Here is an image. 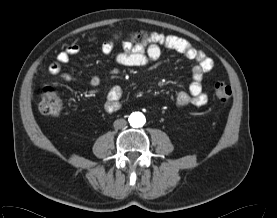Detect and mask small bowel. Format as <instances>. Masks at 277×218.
<instances>
[{
  "label": "small bowel",
  "mask_w": 277,
  "mask_h": 218,
  "mask_svg": "<svg viewBox=\"0 0 277 218\" xmlns=\"http://www.w3.org/2000/svg\"><path fill=\"white\" fill-rule=\"evenodd\" d=\"M151 43L146 47L132 46L125 43L123 51L116 57L119 64L127 67L145 66L151 62L158 60L161 56L162 47L165 46L171 50L183 54L189 60L197 62V65L192 70V81L188 91L180 92L177 96V102L180 105L194 104L201 106L207 103V95L202 89V80L206 72L213 67V61L205 53L195 48L189 41L179 36L163 35L154 33L151 35ZM80 52V47L76 44L69 45L61 50L54 61L48 66V71L52 75L59 76L65 80H69L70 76L66 72L64 66L69 63L73 56ZM102 52L105 55H111L113 46L110 42L103 44ZM100 79L97 76H92L89 79L91 86H97ZM121 96V91L118 87H114L110 91V101H116Z\"/></svg>",
  "instance_id": "1"
}]
</instances>
